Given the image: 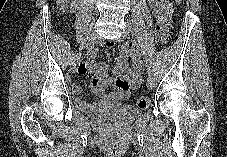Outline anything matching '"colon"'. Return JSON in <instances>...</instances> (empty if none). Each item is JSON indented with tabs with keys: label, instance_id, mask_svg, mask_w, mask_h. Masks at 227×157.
<instances>
[{
	"label": "colon",
	"instance_id": "5ec220e1",
	"mask_svg": "<svg viewBox=\"0 0 227 157\" xmlns=\"http://www.w3.org/2000/svg\"><path fill=\"white\" fill-rule=\"evenodd\" d=\"M176 3H179L180 0H175ZM155 33L157 40L162 44H166L169 40V29L167 24L164 22L162 17L157 19ZM136 105L142 109H145L149 106V98L146 96H137L134 99Z\"/></svg>",
	"mask_w": 227,
	"mask_h": 157
}]
</instances>
